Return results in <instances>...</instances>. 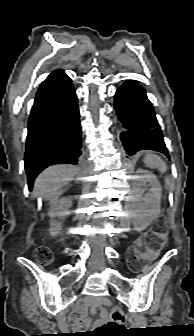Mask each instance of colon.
I'll use <instances>...</instances> for the list:
<instances>
[{
	"label": "colon",
	"mask_w": 194,
	"mask_h": 336,
	"mask_svg": "<svg viewBox=\"0 0 194 336\" xmlns=\"http://www.w3.org/2000/svg\"><path fill=\"white\" fill-rule=\"evenodd\" d=\"M168 229L166 225L160 221L154 229L149 231L145 236V251L133 248L128 253V264L132 268H137L140 261L144 258H152L158 254L163 248ZM35 257L43 264H51L53 262V254L43 246L35 251ZM125 314L119 306L111 309L109 319L101 325L96 331L92 332V336H106L117 332L125 327Z\"/></svg>",
	"instance_id": "5ec220e1"
}]
</instances>
